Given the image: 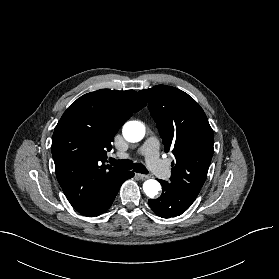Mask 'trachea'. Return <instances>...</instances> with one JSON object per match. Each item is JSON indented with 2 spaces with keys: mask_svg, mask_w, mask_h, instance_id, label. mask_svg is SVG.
<instances>
[{
  "mask_svg": "<svg viewBox=\"0 0 279 279\" xmlns=\"http://www.w3.org/2000/svg\"><path fill=\"white\" fill-rule=\"evenodd\" d=\"M109 163L117 168L131 170L133 169L135 172L148 174V170L141 163H133L131 160H116L113 158L109 159Z\"/></svg>",
  "mask_w": 279,
  "mask_h": 279,
  "instance_id": "1",
  "label": "trachea"
}]
</instances>
